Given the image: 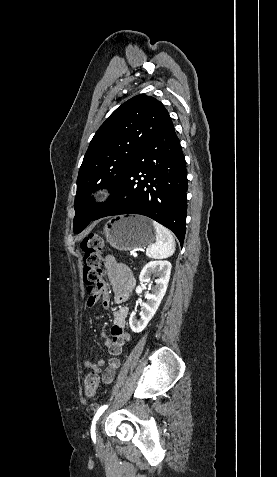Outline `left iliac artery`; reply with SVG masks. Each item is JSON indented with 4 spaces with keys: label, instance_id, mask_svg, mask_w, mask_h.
Returning <instances> with one entry per match:
<instances>
[{
    "label": "left iliac artery",
    "instance_id": "obj_1",
    "mask_svg": "<svg viewBox=\"0 0 277 477\" xmlns=\"http://www.w3.org/2000/svg\"><path fill=\"white\" fill-rule=\"evenodd\" d=\"M108 405L101 406L98 411L96 412L94 419L92 421L91 432L95 433V424L98 418L102 415V413L107 409Z\"/></svg>",
    "mask_w": 277,
    "mask_h": 477
}]
</instances>
